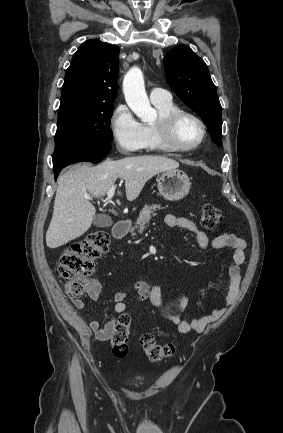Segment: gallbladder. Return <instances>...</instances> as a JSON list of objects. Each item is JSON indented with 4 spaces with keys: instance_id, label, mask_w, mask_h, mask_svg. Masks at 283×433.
<instances>
[{
    "instance_id": "gallbladder-1",
    "label": "gallbladder",
    "mask_w": 283,
    "mask_h": 433,
    "mask_svg": "<svg viewBox=\"0 0 283 433\" xmlns=\"http://www.w3.org/2000/svg\"><path fill=\"white\" fill-rule=\"evenodd\" d=\"M93 225L95 227H111L112 219L108 217V214H95Z\"/></svg>"
}]
</instances>
